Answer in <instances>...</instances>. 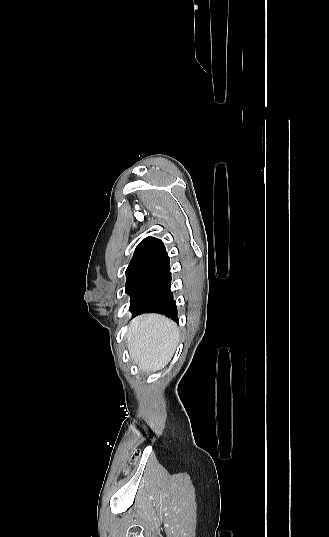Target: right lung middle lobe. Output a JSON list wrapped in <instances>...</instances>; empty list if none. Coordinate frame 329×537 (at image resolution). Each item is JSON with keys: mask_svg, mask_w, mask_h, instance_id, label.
Here are the masks:
<instances>
[{"mask_svg": "<svg viewBox=\"0 0 329 537\" xmlns=\"http://www.w3.org/2000/svg\"><path fill=\"white\" fill-rule=\"evenodd\" d=\"M148 265L146 264H133V265H129L127 270H126V276H127V281H126V293L129 292L132 284L134 283V281L137 279V277L141 274V272L143 270L146 269Z\"/></svg>", "mask_w": 329, "mask_h": 537, "instance_id": "1", "label": "right lung middle lobe"}]
</instances>
